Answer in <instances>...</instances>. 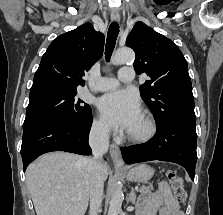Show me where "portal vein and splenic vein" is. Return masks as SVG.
Masks as SVG:
<instances>
[{"label": "portal vein and splenic vein", "mask_w": 223, "mask_h": 215, "mask_svg": "<svg viewBox=\"0 0 223 215\" xmlns=\"http://www.w3.org/2000/svg\"><path fill=\"white\" fill-rule=\"evenodd\" d=\"M139 187L136 185V186H134V189H138ZM71 199H76V197H71Z\"/></svg>", "instance_id": "obj_1"}]
</instances>
